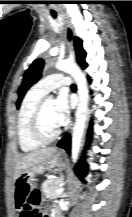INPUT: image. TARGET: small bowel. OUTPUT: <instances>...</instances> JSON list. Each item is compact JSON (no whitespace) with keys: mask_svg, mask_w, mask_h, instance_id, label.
Instances as JSON below:
<instances>
[{"mask_svg":"<svg viewBox=\"0 0 132 217\" xmlns=\"http://www.w3.org/2000/svg\"><path fill=\"white\" fill-rule=\"evenodd\" d=\"M26 197L27 195L24 193H19L16 197V208L19 211L20 217H32L31 211L29 210L26 204ZM42 217L48 216L44 215Z\"/></svg>","mask_w":132,"mask_h":217,"instance_id":"c3829d8e","label":"small bowel"}]
</instances>
